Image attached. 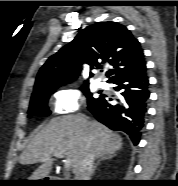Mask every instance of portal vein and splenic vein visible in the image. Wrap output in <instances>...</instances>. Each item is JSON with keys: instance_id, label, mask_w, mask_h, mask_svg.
Returning <instances> with one entry per match:
<instances>
[{"instance_id": "obj_1", "label": "portal vein and splenic vein", "mask_w": 178, "mask_h": 186, "mask_svg": "<svg viewBox=\"0 0 178 186\" xmlns=\"http://www.w3.org/2000/svg\"><path fill=\"white\" fill-rule=\"evenodd\" d=\"M53 156L57 157V158H65V155L63 153L60 152H55L53 153ZM72 164H71V160L69 158L64 160V167L65 169L68 171L70 170Z\"/></svg>"}]
</instances>
